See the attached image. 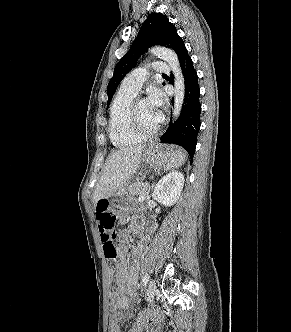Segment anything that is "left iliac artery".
Listing matches in <instances>:
<instances>
[{
    "instance_id": "obj_1",
    "label": "left iliac artery",
    "mask_w": 291,
    "mask_h": 332,
    "mask_svg": "<svg viewBox=\"0 0 291 332\" xmlns=\"http://www.w3.org/2000/svg\"><path fill=\"white\" fill-rule=\"evenodd\" d=\"M148 281H149V275L145 274L144 277H143V280H142L143 286H146Z\"/></svg>"
}]
</instances>
